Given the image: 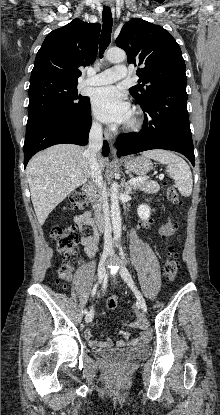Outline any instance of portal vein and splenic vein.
Here are the masks:
<instances>
[{"instance_id":"18ae733b","label":"portal vein and splenic vein","mask_w":220,"mask_h":415,"mask_svg":"<svg viewBox=\"0 0 220 415\" xmlns=\"http://www.w3.org/2000/svg\"><path fill=\"white\" fill-rule=\"evenodd\" d=\"M160 178L161 179L164 178V175L161 174ZM146 180H148V177L132 178V179L129 180V184H135V183L143 182V181H146Z\"/></svg>"}]
</instances>
